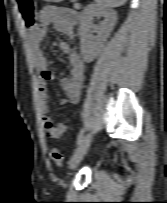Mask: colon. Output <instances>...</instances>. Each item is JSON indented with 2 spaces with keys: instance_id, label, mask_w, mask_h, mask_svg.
Masks as SVG:
<instances>
[{
  "instance_id": "colon-1",
  "label": "colon",
  "mask_w": 167,
  "mask_h": 203,
  "mask_svg": "<svg viewBox=\"0 0 167 203\" xmlns=\"http://www.w3.org/2000/svg\"><path fill=\"white\" fill-rule=\"evenodd\" d=\"M18 10L24 26L28 30L36 28L35 22V1L34 0H17ZM51 159L56 165L63 164V155L58 148H52Z\"/></svg>"
}]
</instances>
